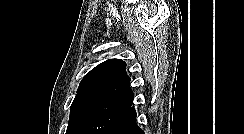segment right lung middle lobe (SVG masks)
Masks as SVG:
<instances>
[{"label": "right lung middle lobe", "mask_w": 244, "mask_h": 134, "mask_svg": "<svg viewBox=\"0 0 244 134\" xmlns=\"http://www.w3.org/2000/svg\"><path fill=\"white\" fill-rule=\"evenodd\" d=\"M132 101L104 99L70 110L66 134H106L130 108Z\"/></svg>", "instance_id": "obj_1"}]
</instances>
